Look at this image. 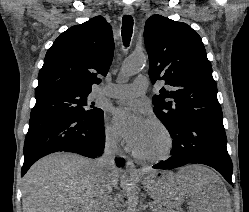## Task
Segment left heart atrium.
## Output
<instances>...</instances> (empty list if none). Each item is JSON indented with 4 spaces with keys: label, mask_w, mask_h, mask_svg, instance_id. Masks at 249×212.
Returning <instances> with one entry per match:
<instances>
[{
    "label": "left heart atrium",
    "mask_w": 249,
    "mask_h": 212,
    "mask_svg": "<svg viewBox=\"0 0 249 212\" xmlns=\"http://www.w3.org/2000/svg\"><path fill=\"white\" fill-rule=\"evenodd\" d=\"M112 121L118 136L131 151L137 152L147 121L141 115L126 107L114 108L112 110Z\"/></svg>",
    "instance_id": "obj_1"
}]
</instances>
